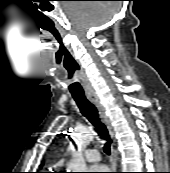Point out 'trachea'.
Instances as JSON below:
<instances>
[{"instance_id":"3493384b","label":"trachea","mask_w":170,"mask_h":173,"mask_svg":"<svg viewBox=\"0 0 170 173\" xmlns=\"http://www.w3.org/2000/svg\"><path fill=\"white\" fill-rule=\"evenodd\" d=\"M72 97L74 98L82 115L85 116L89 120V122L95 127V130L97 131L100 138L106 140L103 149L106 154L110 155V136L108 134L106 126L101 122L99 118L97 108L92 102L87 99L84 93H75L72 94Z\"/></svg>"}]
</instances>
